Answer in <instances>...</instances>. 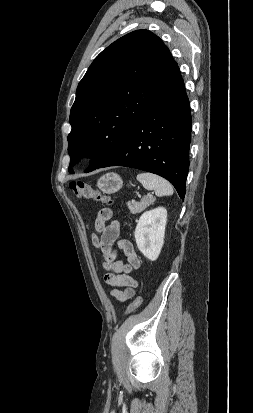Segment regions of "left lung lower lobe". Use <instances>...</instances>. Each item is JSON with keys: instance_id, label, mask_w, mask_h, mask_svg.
I'll use <instances>...</instances> for the list:
<instances>
[{"instance_id": "left-lung-lower-lobe-1", "label": "left lung lower lobe", "mask_w": 253, "mask_h": 413, "mask_svg": "<svg viewBox=\"0 0 253 413\" xmlns=\"http://www.w3.org/2000/svg\"><path fill=\"white\" fill-rule=\"evenodd\" d=\"M191 128L189 99L177 65L167 85L123 144L99 168L125 166L160 175L170 181L184 199Z\"/></svg>"}]
</instances>
